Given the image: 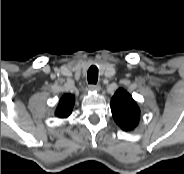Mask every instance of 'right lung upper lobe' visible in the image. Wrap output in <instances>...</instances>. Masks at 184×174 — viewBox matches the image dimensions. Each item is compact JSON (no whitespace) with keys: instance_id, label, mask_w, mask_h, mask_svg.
Listing matches in <instances>:
<instances>
[{"instance_id":"right-lung-upper-lobe-1","label":"right lung upper lobe","mask_w":184,"mask_h":174,"mask_svg":"<svg viewBox=\"0 0 184 174\" xmlns=\"http://www.w3.org/2000/svg\"><path fill=\"white\" fill-rule=\"evenodd\" d=\"M75 97L72 94H64L58 103L55 115L59 118H67L74 107Z\"/></svg>"}]
</instances>
